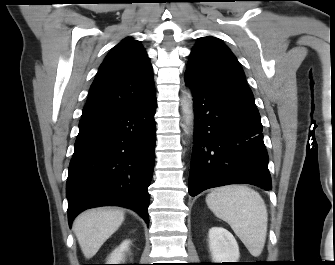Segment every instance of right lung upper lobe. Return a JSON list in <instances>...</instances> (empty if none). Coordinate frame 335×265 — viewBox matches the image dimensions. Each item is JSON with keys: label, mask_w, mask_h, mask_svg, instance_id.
Wrapping results in <instances>:
<instances>
[{"label": "right lung upper lobe", "mask_w": 335, "mask_h": 265, "mask_svg": "<svg viewBox=\"0 0 335 265\" xmlns=\"http://www.w3.org/2000/svg\"><path fill=\"white\" fill-rule=\"evenodd\" d=\"M153 69L142 45L126 38L100 65L82 117L105 114L143 104L155 97Z\"/></svg>", "instance_id": "1"}]
</instances>
